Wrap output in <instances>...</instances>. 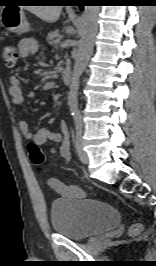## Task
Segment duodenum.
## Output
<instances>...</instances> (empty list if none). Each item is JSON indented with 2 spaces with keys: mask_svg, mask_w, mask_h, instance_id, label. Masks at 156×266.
Instances as JSON below:
<instances>
[{
  "mask_svg": "<svg viewBox=\"0 0 156 266\" xmlns=\"http://www.w3.org/2000/svg\"><path fill=\"white\" fill-rule=\"evenodd\" d=\"M71 79H72L71 69L69 67H66L62 72V80L64 84L68 85L71 83Z\"/></svg>",
  "mask_w": 156,
  "mask_h": 266,
  "instance_id": "1",
  "label": "duodenum"
}]
</instances>
